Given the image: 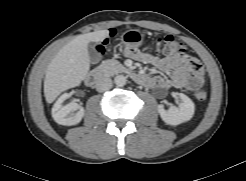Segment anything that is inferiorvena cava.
Returning a JSON list of instances; mask_svg holds the SVG:
<instances>
[{
    "label": "inferior vena cava",
    "instance_id": "602c4592",
    "mask_svg": "<svg viewBox=\"0 0 246 181\" xmlns=\"http://www.w3.org/2000/svg\"><path fill=\"white\" fill-rule=\"evenodd\" d=\"M96 90L98 92H104L112 88V80L107 76H102L96 81Z\"/></svg>",
    "mask_w": 246,
    "mask_h": 181
}]
</instances>
